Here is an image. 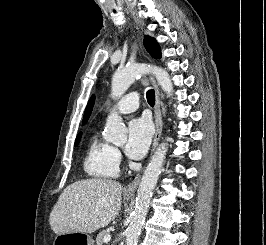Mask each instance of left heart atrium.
<instances>
[{
	"label": "left heart atrium",
	"mask_w": 266,
	"mask_h": 245,
	"mask_svg": "<svg viewBox=\"0 0 266 245\" xmlns=\"http://www.w3.org/2000/svg\"><path fill=\"white\" fill-rule=\"evenodd\" d=\"M153 135V126L149 119L140 117L129 122L127 141L124 147L131 159L141 158L149 147Z\"/></svg>",
	"instance_id": "obj_1"
}]
</instances>
